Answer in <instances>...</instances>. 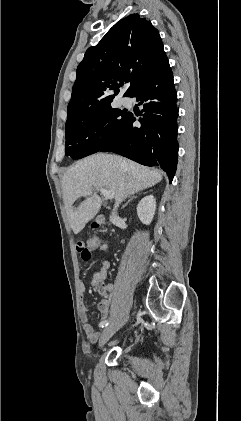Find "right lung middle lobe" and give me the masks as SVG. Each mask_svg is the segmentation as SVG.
<instances>
[{
	"instance_id": "dd1d6c3e",
	"label": "right lung middle lobe",
	"mask_w": 241,
	"mask_h": 421,
	"mask_svg": "<svg viewBox=\"0 0 241 421\" xmlns=\"http://www.w3.org/2000/svg\"><path fill=\"white\" fill-rule=\"evenodd\" d=\"M130 113L111 106L65 126V154L80 159L99 152L125 128Z\"/></svg>"
}]
</instances>
